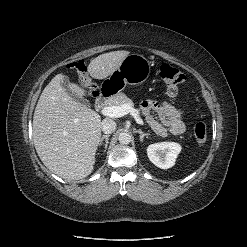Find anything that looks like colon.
Segmentation results:
<instances>
[{
  "label": "colon",
  "instance_id": "colon-1",
  "mask_svg": "<svg viewBox=\"0 0 247 247\" xmlns=\"http://www.w3.org/2000/svg\"><path fill=\"white\" fill-rule=\"evenodd\" d=\"M70 68L76 70L82 79L84 86L91 91L87 79V64L84 60L75 61L70 64ZM158 75L166 85V92L169 98L175 99L179 93L185 76L175 67L169 64H162L159 67ZM194 138L199 146H203L207 142V126L204 122H197L194 126Z\"/></svg>",
  "mask_w": 247,
  "mask_h": 247
}]
</instances>
